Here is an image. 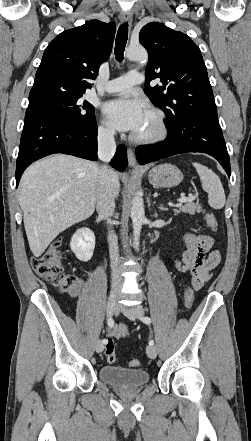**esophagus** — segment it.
I'll return each mask as SVG.
<instances>
[{
	"label": "esophagus",
	"mask_w": 251,
	"mask_h": 441,
	"mask_svg": "<svg viewBox=\"0 0 251 441\" xmlns=\"http://www.w3.org/2000/svg\"><path fill=\"white\" fill-rule=\"evenodd\" d=\"M120 20L122 22H129V23H131L132 22V15H131V13L130 12H121ZM127 155H128L129 166L131 168L138 169L139 165H138V162L136 160V157H135V154H134V151H133L132 148H128L127 149Z\"/></svg>",
	"instance_id": "obj_1"
}]
</instances>
